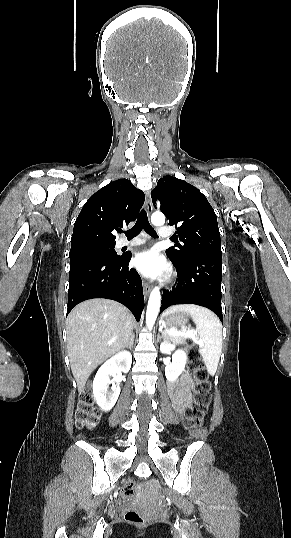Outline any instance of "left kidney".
I'll return each mask as SVG.
<instances>
[{
	"instance_id": "1",
	"label": "left kidney",
	"mask_w": 291,
	"mask_h": 538,
	"mask_svg": "<svg viewBox=\"0 0 291 538\" xmlns=\"http://www.w3.org/2000/svg\"><path fill=\"white\" fill-rule=\"evenodd\" d=\"M175 350V345L169 342H163L160 345L161 353L168 354ZM187 361L185 351L179 349L172 355V362L165 367V375L168 381L174 382L179 375L184 371Z\"/></svg>"
}]
</instances>
